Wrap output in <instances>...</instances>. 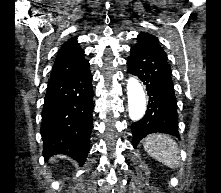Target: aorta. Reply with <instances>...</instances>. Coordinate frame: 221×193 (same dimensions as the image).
Instances as JSON below:
<instances>
[{"label": "aorta", "instance_id": "1", "mask_svg": "<svg viewBox=\"0 0 221 193\" xmlns=\"http://www.w3.org/2000/svg\"><path fill=\"white\" fill-rule=\"evenodd\" d=\"M127 95L130 119H141L146 110V98L141 84L134 77L128 79Z\"/></svg>", "mask_w": 221, "mask_h": 193}]
</instances>
